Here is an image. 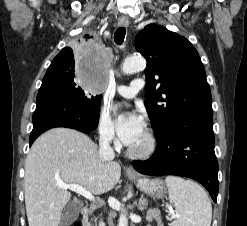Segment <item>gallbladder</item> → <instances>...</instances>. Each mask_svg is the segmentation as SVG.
Returning <instances> with one entry per match:
<instances>
[{
  "label": "gallbladder",
  "instance_id": "obj_1",
  "mask_svg": "<svg viewBox=\"0 0 247 226\" xmlns=\"http://www.w3.org/2000/svg\"><path fill=\"white\" fill-rule=\"evenodd\" d=\"M82 203L79 201H70L64 207L61 213L60 226H70L78 217Z\"/></svg>",
  "mask_w": 247,
  "mask_h": 226
}]
</instances>
